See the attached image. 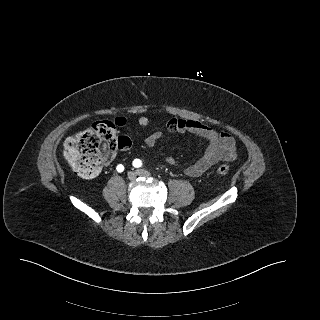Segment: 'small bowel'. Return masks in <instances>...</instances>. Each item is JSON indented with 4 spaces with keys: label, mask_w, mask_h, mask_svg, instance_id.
I'll return each instance as SVG.
<instances>
[{
    "label": "small bowel",
    "mask_w": 320,
    "mask_h": 320,
    "mask_svg": "<svg viewBox=\"0 0 320 320\" xmlns=\"http://www.w3.org/2000/svg\"><path fill=\"white\" fill-rule=\"evenodd\" d=\"M119 126L125 125L124 118L115 120ZM148 118L142 116L138 119L141 127L148 125ZM166 128L172 133H191L207 141V147L203 154L193 163L184 168L189 177H199L212 165L219 161H233L236 158V145L234 138L226 132H218L213 127L196 120L171 118L167 121ZM163 137L162 131L150 133L145 138V145L152 148ZM168 165L180 167L179 162L172 156L166 158Z\"/></svg>",
    "instance_id": "1"
}]
</instances>
